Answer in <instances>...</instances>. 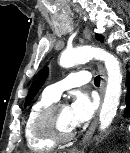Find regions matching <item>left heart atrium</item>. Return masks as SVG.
<instances>
[{
	"label": "left heart atrium",
	"instance_id": "left-heart-atrium-1",
	"mask_svg": "<svg viewBox=\"0 0 130 153\" xmlns=\"http://www.w3.org/2000/svg\"><path fill=\"white\" fill-rule=\"evenodd\" d=\"M97 101L86 93H77L69 106L72 125L79 126L88 122L97 108Z\"/></svg>",
	"mask_w": 130,
	"mask_h": 153
}]
</instances>
